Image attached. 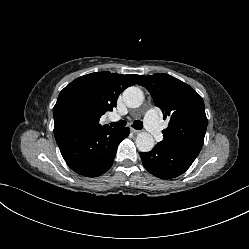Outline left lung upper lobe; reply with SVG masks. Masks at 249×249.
Here are the masks:
<instances>
[{
	"instance_id": "left-lung-upper-lobe-1",
	"label": "left lung upper lobe",
	"mask_w": 249,
	"mask_h": 249,
	"mask_svg": "<svg viewBox=\"0 0 249 249\" xmlns=\"http://www.w3.org/2000/svg\"><path fill=\"white\" fill-rule=\"evenodd\" d=\"M139 85L150 92L154 104L169 118L163 130L164 147H180L199 153L204 142L207 117L202 97L189 85L168 74L144 77Z\"/></svg>"
}]
</instances>
